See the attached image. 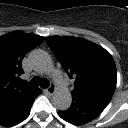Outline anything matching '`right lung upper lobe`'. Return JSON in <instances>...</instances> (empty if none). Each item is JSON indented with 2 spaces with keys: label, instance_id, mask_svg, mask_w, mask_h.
<instances>
[{
  "label": "right lung upper lobe",
  "instance_id": "obj_1",
  "mask_svg": "<svg viewBox=\"0 0 128 128\" xmlns=\"http://www.w3.org/2000/svg\"><path fill=\"white\" fill-rule=\"evenodd\" d=\"M44 41V37L15 31L0 37V113L18 98L33 91L27 81H21L24 73L21 62L24 56Z\"/></svg>",
  "mask_w": 128,
  "mask_h": 128
}]
</instances>
